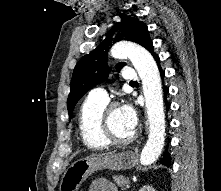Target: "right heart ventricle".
Segmentation results:
<instances>
[{
	"label": "right heart ventricle",
	"instance_id": "1",
	"mask_svg": "<svg viewBox=\"0 0 221 191\" xmlns=\"http://www.w3.org/2000/svg\"><path fill=\"white\" fill-rule=\"evenodd\" d=\"M106 105L107 102L88 96L80 107L79 130L84 145L89 149L103 150L111 146L104 138L102 129V116Z\"/></svg>",
	"mask_w": 221,
	"mask_h": 191
}]
</instances>
